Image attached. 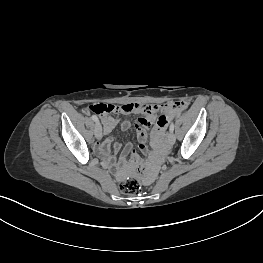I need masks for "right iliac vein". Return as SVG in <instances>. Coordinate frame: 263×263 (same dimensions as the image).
<instances>
[{"label": "right iliac vein", "instance_id": "right-iliac-vein-1", "mask_svg": "<svg viewBox=\"0 0 263 263\" xmlns=\"http://www.w3.org/2000/svg\"><path fill=\"white\" fill-rule=\"evenodd\" d=\"M94 134L97 139H100L102 137V127L99 122H97L95 125Z\"/></svg>", "mask_w": 263, "mask_h": 263}]
</instances>
